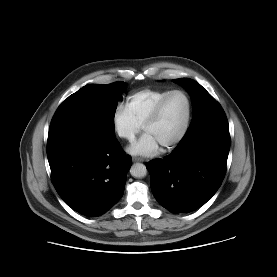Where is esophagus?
I'll use <instances>...</instances> for the list:
<instances>
[{
	"mask_svg": "<svg viewBox=\"0 0 277 277\" xmlns=\"http://www.w3.org/2000/svg\"><path fill=\"white\" fill-rule=\"evenodd\" d=\"M134 162H144V159L141 157H133Z\"/></svg>",
	"mask_w": 277,
	"mask_h": 277,
	"instance_id": "34e87169",
	"label": "esophagus"
}]
</instances>
